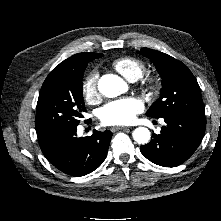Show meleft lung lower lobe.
Listing matches in <instances>:
<instances>
[{"mask_svg": "<svg viewBox=\"0 0 221 221\" xmlns=\"http://www.w3.org/2000/svg\"><path fill=\"white\" fill-rule=\"evenodd\" d=\"M166 126L150 143L142 145V154L151 162L164 167L182 164L195 152L205 133V115L179 113L164 117Z\"/></svg>", "mask_w": 221, "mask_h": 221, "instance_id": "1", "label": "left lung lower lobe"}]
</instances>
